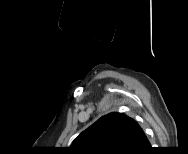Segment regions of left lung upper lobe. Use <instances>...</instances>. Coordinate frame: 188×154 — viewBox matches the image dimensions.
<instances>
[{
	"label": "left lung upper lobe",
	"instance_id": "obj_1",
	"mask_svg": "<svg viewBox=\"0 0 188 154\" xmlns=\"http://www.w3.org/2000/svg\"><path fill=\"white\" fill-rule=\"evenodd\" d=\"M136 121L124 113H109L83 131L70 149L80 154H126L134 137Z\"/></svg>",
	"mask_w": 188,
	"mask_h": 154
}]
</instances>
